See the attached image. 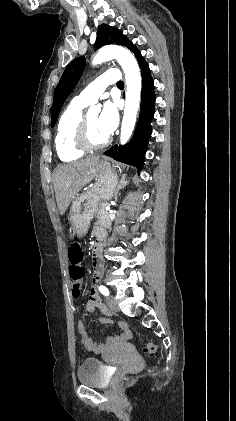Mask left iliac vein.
<instances>
[{
    "instance_id": "1",
    "label": "left iliac vein",
    "mask_w": 236,
    "mask_h": 421,
    "mask_svg": "<svg viewBox=\"0 0 236 421\" xmlns=\"http://www.w3.org/2000/svg\"><path fill=\"white\" fill-rule=\"evenodd\" d=\"M108 307L110 308V310L114 311V312H118V306H117V299L114 297H108L106 300Z\"/></svg>"
}]
</instances>
